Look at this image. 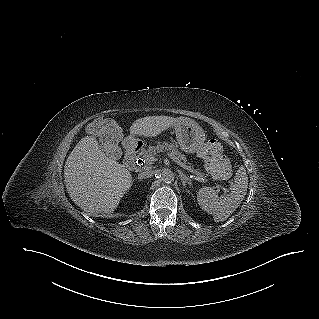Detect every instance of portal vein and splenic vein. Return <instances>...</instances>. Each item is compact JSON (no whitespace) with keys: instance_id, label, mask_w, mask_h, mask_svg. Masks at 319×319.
I'll use <instances>...</instances> for the list:
<instances>
[{"instance_id":"obj_1","label":"portal vein and splenic vein","mask_w":319,"mask_h":319,"mask_svg":"<svg viewBox=\"0 0 319 319\" xmlns=\"http://www.w3.org/2000/svg\"><path fill=\"white\" fill-rule=\"evenodd\" d=\"M167 156L169 158H171L174 162H176L179 166L184 168L185 170L195 174L196 175V177H195L196 180L201 181V182H205V178L204 177L200 176L195 170L191 169L190 167H188L187 165L182 163L176 156H174L171 153H167ZM149 161L153 162V161H155V158L154 157H150ZM216 188H217V190H219L220 186L217 185Z\"/></svg>"}]
</instances>
